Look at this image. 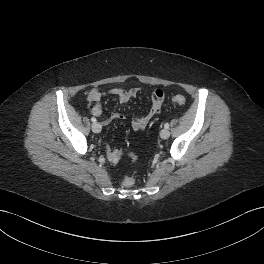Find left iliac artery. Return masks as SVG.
I'll return each mask as SVG.
<instances>
[{"instance_id":"left-iliac-artery-1","label":"left iliac artery","mask_w":264,"mask_h":264,"mask_svg":"<svg viewBox=\"0 0 264 264\" xmlns=\"http://www.w3.org/2000/svg\"><path fill=\"white\" fill-rule=\"evenodd\" d=\"M164 127H165L166 129H168V128H169V123H165Z\"/></svg>"}]
</instances>
